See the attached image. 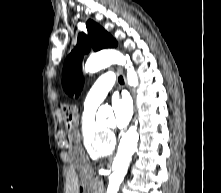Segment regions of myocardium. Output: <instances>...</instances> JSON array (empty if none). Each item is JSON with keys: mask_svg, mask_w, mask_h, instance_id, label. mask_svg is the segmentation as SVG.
<instances>
[{"mask_svg": "<svg viewBox=\"0 0 221 193\" xmlns=\"http://www.w3.org/2000/svg\"><path fill=\"white\" fill-rule=\"evenodd\" d=\"M103 128H104L107 132L112 130V127H111V126H105V125H103Z\"/></svg>", "mask_w": 221, "mask_h": 193, "instance_id": "1", "label": "myocardium"}]
</instances>
